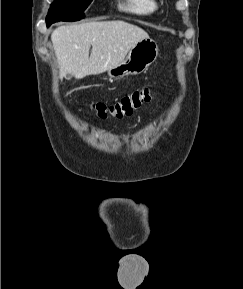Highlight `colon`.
Returning a JSON list of instances; mask_svg holds the SVG:
<instances>
[{"mask_svg": "<svg viewBox=\"0 0 243 289\" xmlns=\"http://www.w3.org/2000/svg\"><path fill=\"white\" fill-rule=\"evenodd\" d=\"M151 99L152 93L150 89L143 88L123 96L113 104L97 102L90 104V107L100 118H106L108 116L122 118L131 115L134 110L138 109L142 104L149 102Z\"/></svg>", "mask_w": 243, "mask_h": 289, "instance_id": "colon-1", "label": "colon"}]
</instances>
